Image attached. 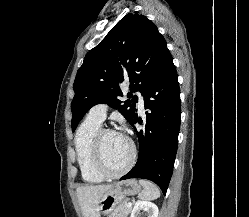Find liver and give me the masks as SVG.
Listing matches in <instances>:
<instances>
[{"label": "liver", "mask_w": 249, "mask_h": 217, "mask_svg": "<svg viewBox=\"0 0 249 217\" xmlns=\"http://www.w3.org/2000/svg\"><path fill=\"white\" fill-rule=\"evenodd\" d=\"M112 185L83 186L76 190L83 217H100L99 201Z\"/></svg>", "instance_id": "6515ba94"}]
</instances>
